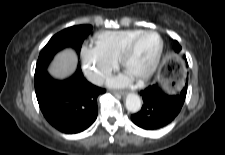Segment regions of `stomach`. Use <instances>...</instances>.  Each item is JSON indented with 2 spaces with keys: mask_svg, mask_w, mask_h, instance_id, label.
<instances>
[{
  "mask_svg": "<svg viewBox=\"0 0 225 155\" xmlns=\"http://www.w3.org/2000/svg\"><path fill=\"white\" fill-rule=\"evenodd\" d=\"M158 82L161 88L169 94H174L182 86V80L175 72H171L167 66L160 68L158 72Z\"/></svg>",
  "mask_w": 225,
  "mask_h": 155,
  "instance_id": "stomach-1",
  "label": "stomach"
}]
</instances>
